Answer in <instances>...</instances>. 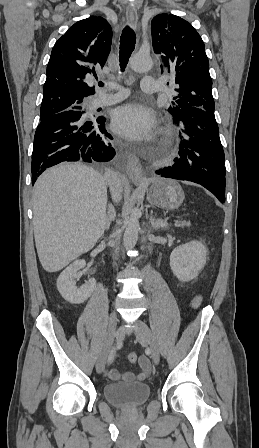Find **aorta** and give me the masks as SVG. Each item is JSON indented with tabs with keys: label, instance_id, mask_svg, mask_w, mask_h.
I'll list each match as a JSON object with an SVG mask.
<instances>
[{
	"label": "aorta",
	"instance_id": "aorta-1",
	"mask_svg": "<svg viewBox=\"0 0 259 448\" xmlns=\"http://www.w3.org/2000/svg\"><path fill=\"white\" fill-rule=\"evenodd\" d=\"M130 66L136 72H147L152 67V60L150 56L136 54L132 57ZM140 229L138 210L135 208L126 223L123 236V245L127 250L135 247Z\"/></svg>",
	"mask_w": 259,
	"mask_h": 448
}]
</instances>
